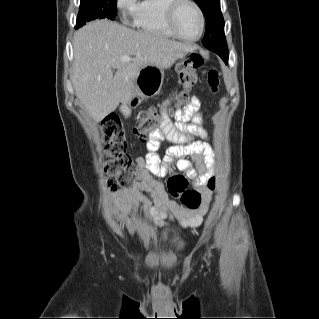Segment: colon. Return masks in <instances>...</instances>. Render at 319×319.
Listing matches in <instances>:
<instances>
[{"mask_svg":"<svg viewBox=\"0 0 319 319\" xmlns=\"http://www.w3.org/2000/svg\"><path fill=\"white\" fill-rule=\"evenodd\" d=\"M204 63L203 58L196 53L183 58L178 63L180 81L182 86L188 90L198 80L196 70ZM206 86L211 93H216L219 88V73L217 69L211 68L207 72ZM186 102V95L180 94L177 98V106ZM160 126V119L154 109H148L147 116L143 118L133 129L139 139H145L147 134L156 132ZM102 138L106 152L105 168L112 177V187L130 186L139 171V165L135 163L127 153V136L119 118H110L102 126ZM188 181L184 176L169 178L167 188L171 195L180 200L181 204L188 210H196L201 204V194L196 190L186 189ZM210 191H215L216 183L212 178L207 182Z\"/></svg>","mask_w":319,"mask_h":319,"instance_id":"obj_1","label":"colon"}]
</instances>
